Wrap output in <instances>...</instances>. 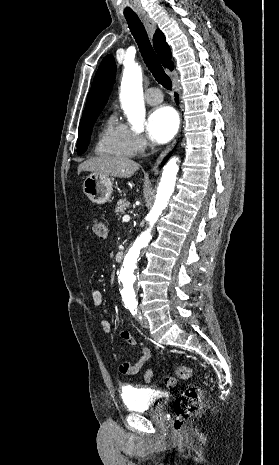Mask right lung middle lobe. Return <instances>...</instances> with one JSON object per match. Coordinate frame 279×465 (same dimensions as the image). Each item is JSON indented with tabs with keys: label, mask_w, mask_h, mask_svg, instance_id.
I'll use <instances>...</instances> for the list:
<instances>
[{
	"label": "right lung middle lobe",
	"mask_w": 279,
	"mask_h": 465,
	"mask_svg": "<svg viewBox=\"0 0 279 465\" xmlns=\"http://www.w3.org/2000/svg\"><path fill=\"white\" fill-rule=\"evenodd\" d=\"M97 117L92 120L88 125L79 127L78 141H77V152L82 154L86 151L89 144L93 124L96 121Z\"/></svg>",
	"instance_id": "1"
}]
</instances>
